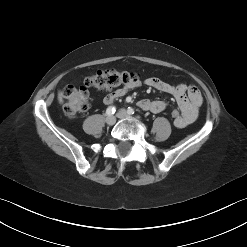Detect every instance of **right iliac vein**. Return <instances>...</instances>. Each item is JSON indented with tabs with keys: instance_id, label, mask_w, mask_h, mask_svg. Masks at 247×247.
<instances>
[{
	"instance_id": "1",
	"label": "right iliac vein",
	"mask_w": 247,
	"mask_h": 247,
	"mask_svg": "<svg viewBox=\"0 0 247 247\" xmlns=\"http://www.w3.org/2000/svg\"><path fill=\"white\" fill-rule=\"evenodd\" d=\"M116 122V118L114 116H108L106 118V123L109 125V126H112L114 125Z\"/></svg>"
}]
</instances>
